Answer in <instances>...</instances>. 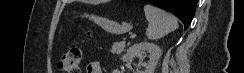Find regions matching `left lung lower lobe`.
Listing matches in <instances>:
<instances>
[{
	"mask_svg": "<svg viewBox=\"0 0 244 73\" xmlns=\"http://www.w3.org/2000/svg\"><path fill=\"white\" fill-rule=\"evenodd\" d=\"M177 16L187 28L195 13L197 0H144Z\"/></svg>",
	"mask_w": 244,
	"mask_h": 73,
	"instance_id": "obj_1",
	"label": "left lung lower lobe"
}]
</instances>
